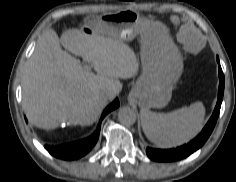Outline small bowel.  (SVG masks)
I'll return each mask as SVG.
<instances>
[{"label": "small bowel", "mask_w": 236, "mask_h": 182, "mask_svg": "<svg viewBox=\"0 0 236 182\" xmlns=\"http://www.w3.org/2000/svg\"><path fill=\"white\" fill-rule=\"evenodd\" d=\"M181 40H184L183 36H181ZM188 49L193 50L194 46L192 44H188Z\"/></svg>", "instance_id": "1"}]
</instances>
